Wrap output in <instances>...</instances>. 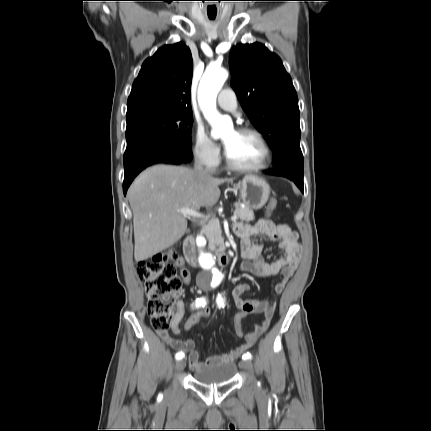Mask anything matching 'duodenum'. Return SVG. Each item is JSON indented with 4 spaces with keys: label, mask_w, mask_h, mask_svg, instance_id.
<instances>
[{
    "label": "duodenum",
    "mask_w": 431,
    "mask_h": 431,
    "mask_svg": "<svg viewBox=\"0 0 431 431\" xmlns=\"http://www.w3.org/2000/svg\"><path fill=\"white\" fill-rule=\"evenodd\" d=\"M183 250H184V255H185L187 262L190 265L195 266L196 265V252H195L194 239L192 236H188L185 239L184 244H183ZM216 259H217V262L220 266H226L229 262L228 255L223 249H220L216 253ZM209 288L210 287H208V289Z\"/></svg>",
    "instance_id": "obj_1"
}]
</instances>
